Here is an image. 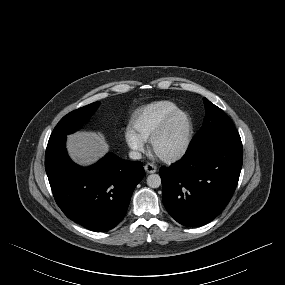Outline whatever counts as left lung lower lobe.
Segmentation results:
<instances>
[{
  "label": "left lung lower lobe",
  "mask_w": 285,
  "mask_h": 285,
  "mask_svg": "<svg viewBox=\"0 0 285 285\" xmlns=\"http://www.w3.org/2000/svg\"><path fill=\"white\" fill-rule=\"evenodd\" d=\"M243 160L241 142L188 152L172 167H162V199L180 224L198 227L212 221L230 201Z\"/></svg>",
  "instance_id": "obj_1"
}]
</instances>
